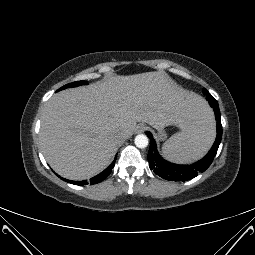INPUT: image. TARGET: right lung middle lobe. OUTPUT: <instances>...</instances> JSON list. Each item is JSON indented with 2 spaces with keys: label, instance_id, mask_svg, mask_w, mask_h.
I'll list each match as a JSON object with an SVG mask.
<instances>
[{
  "label": "right lung middle lobe",
  "instance_id": "1",
  "mask_svg": "<svg viewBox=\"0 0 255 255\" xmlns=\"http://www.w3.org/2000/svg\"><path fill=\"white\" fill-rule=\"evenodd\" d=\"M88 84L86 81H76V82H73V83H69L63 87H61L58 91L60 90H63V89H66V88H70V87H76V86H79V85H86Z\"/></svg>",
  "mask_w": 255,
  "mask_h": 255
}]
</instances>
